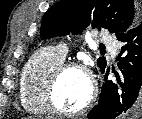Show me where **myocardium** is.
<instances>
[{"mask_svg": "<svg viewBox=\"0 0 142 119\" xmlns=\"http://www.w3.org/2000/svg\"><path fill=\"white\" fill-rule=\"evenodd\" d=\"M71 70L80 71L87 77L89 83V96L85 103L79 108L75 110H65L61 108L56 101V91L61 78L65 75V73ZM96 96L97 85L92 72L87 66L74 61L63 62L62 64H60L51 74L45 88V100L49 110L55 114L62 116H76L84 113L92 107L95 102Z\"/></svg>", "mask_w": 142, "mask_h": 119, "instance_id": "myocardium-1", "label": "myocardium"}]
</instances>
